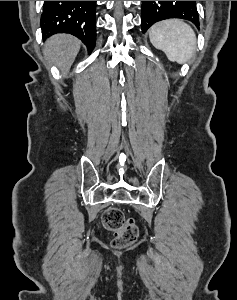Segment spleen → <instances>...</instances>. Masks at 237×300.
Masks as SVG:
<instances>
[{
  "label": "spleen",
  "instance_id": "3e777b00",
  "mask_svg": "<svg viewBox=\"0 0 237 300\" xmlns=\"http://www.w3.org/2000/svg\"><path fill=\"white\" fill-rule=\"evenodd\" d=\"M149 39L165 53L169 61L184 65L192 59L196 51V35L190 25L179 19H168L155 23L150 29Z\"/></svg>",
  "mask_w": 237,
  "mask_h": 300
}]
</instances>
